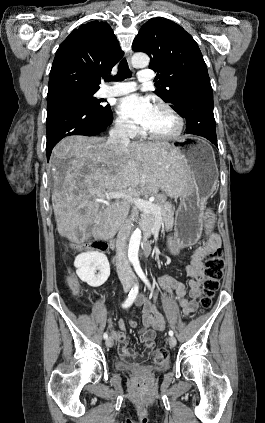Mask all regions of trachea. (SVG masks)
I'll use <instances>...</instances> for the list:
<instances>
[{"instance_id": "3493384b", "label": "trachea", "mask_w": 265, "mask_h": 423, "mask_svg": "<svg viewBox=\"0 0 265 423\" xmlns=\"http://www.w3.org/2000/svg\"><path fill=\"white\" fill-rule=\"evenodd\" d=\"M131 77V72L128 67L126 59H122L118 66V73L116 76H106L105 81H122Z\"/></svg>"}]
</instances>
